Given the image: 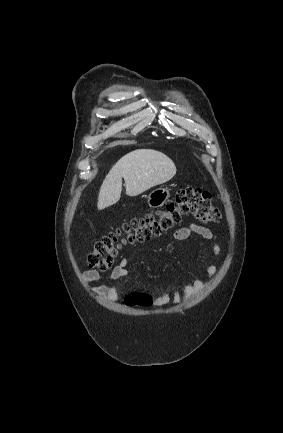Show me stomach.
<instances>
[{
  "label": "stomach",
  "mask_w": 283,
  "mask_h": 433,
  "mask_svg": "<svg viewBox=\"0 0 283 433\" xmlns=\"http://www.w3.org/2000/svg\"><path fill=\"white\" fill-rule=\"evenodd\" d=\"M169 190L170 188H155V190H152V192L148 194L147 204L152 206V208L162 206L170 196Z\"/></svg>",
  "instance_id": "stomach-1"
}]
</instances>
